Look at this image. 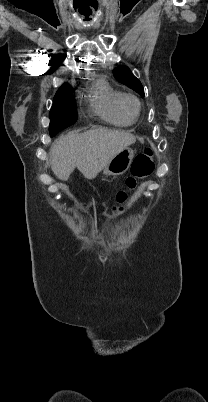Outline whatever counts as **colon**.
<instances>
[{"label":"colon","mask_w":208,"mask_h":402,"mask_svg":"<svg viewBox=\"0 0 208 402\" xmlns=\"http://www.w3.org/2000/svg\"><path fill=\"white\" fill-rule=\"evenodd\" d=\"M152 156V147L146 146L143 152L135 157L131 164V173L125 179L124 188L118 190L116 193L114 210L122 211L123 204L127 200L128 194L137 188L139 180L145 179L152 174L154 170Z\"/></svg>","instance_id":"colon-1"}]
</instances>
